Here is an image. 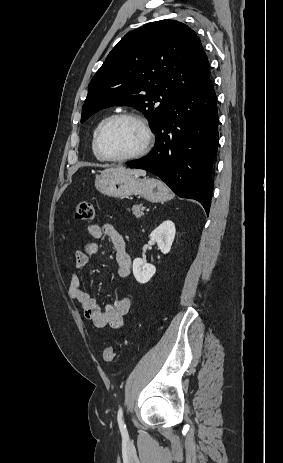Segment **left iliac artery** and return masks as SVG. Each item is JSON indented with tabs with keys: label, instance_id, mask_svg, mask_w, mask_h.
I'll return each mask as SVG.
<instances>
[{
	"label": "left iliac artery",
	"instance_id": "left-iliac-artery-1",
	"mask_svg": "<svg viewBox=\"0 0 283 463\" xmlns=\"http://www.w3.org/2000/svg\"><path fill=\"white\" fill-rule=\"evenodd\" d=\"M117 420H118V425H119L122 436L127 437L128 432H127V429H126V425L124 423L123 410H122L121 407L118 410Z\"/></svg>",
	"mask_w": 283,
	"mask_h": 463
}]
</instances>
